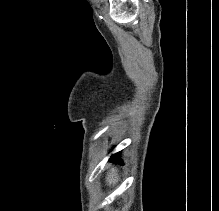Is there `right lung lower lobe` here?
Returning <instances> with one entry per match:
<instances>
[{
	"label": "right lung lower lobe",
	"instance_id": "98d812e1",
	"mask_svg": "<svg viewBox=\"0 0 219 211\" xmlns=\"http://www.w3.org/2000/svg\"><path fill=\"white\" fill-rule=\"evenodd\" d=\"M110 161H112L113 163H120V164H123L121 158H120V155L119 153H116L115 155H112Z\"/></svg>",
	"mask_w": 219,
	"mask_h": 211
}]
</instances>
